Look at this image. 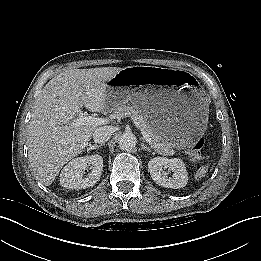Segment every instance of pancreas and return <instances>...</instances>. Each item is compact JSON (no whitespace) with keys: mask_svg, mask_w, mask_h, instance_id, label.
<instances>
[{"mask_svg":"<svg viewBox=\"0 0 261 261\" xmlns=\"http://www.w3.org/2000/svg\"><path fill=\"white\" fill-rule=\"evenodd\" d=\"M112 116L114 118L130 117L134 123L139 124L140 127L150 135L152 139V147L156 152L161 155H173L174 146L168 141L163 140L160 136H157L153 131L149 121L137 106L121 104L117 107L112 108Z\"/></svg>","mask_w":261,"mask_h":261,"instance_id":"pancreas-1","label":"pancreas"}]
</instances>
